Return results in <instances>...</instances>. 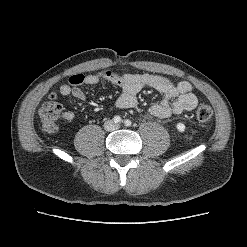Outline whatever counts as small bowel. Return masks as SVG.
<instances>
[{"mask_svg": "<svg viewBox=\"0 0 247 247\" xmlns=\"http://www.w3.org/2000/svg\"><path fill=\"white\" fill-rule=\"evenodd\" d=\"M108 81L121 88V94L114 106L119 109L134 108L138 104L137 94L145 87H150L160 92L163 98L160 103L148 108L150 115L158 118H168L171 115H180L193 110L198 104V98L193 86L182 81L174 83L168 77L155 74H132L105 71L95 74H76L69 78L67 84L60 86V96H73L76 99L87 101V96L81 90L82 85H98ZM61 118L65 121H73L75 114L72 111H62ZM57 128L54 130L56 131ZM51 131V132H54Z\"/></svg>", "mask_w": 247, "mask_h": 247, "instance_id": "c3829d8e", "label": "small bowel"}]
</instances>
